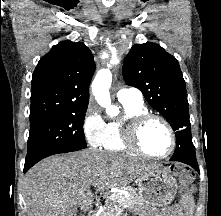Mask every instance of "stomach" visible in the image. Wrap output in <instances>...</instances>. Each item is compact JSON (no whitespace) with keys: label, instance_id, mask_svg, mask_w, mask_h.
Here are the masks:
<instances>
[{"label":"stomach","instance_id":"stomach-1","mask_svg":"<svg viewBox=\"0 0 221 216\" xmlns=\"http://www.w3.org/2000/svg\"><path fill=\"white\" fill-rule=\"evenodd\" d=\"M177 189L175 178L168 169L162 166L149 170L138 177V195L143 205L167 206L175 198Z\"/></svg>","mask_w":221,"mask_h":216}]
</instances>
